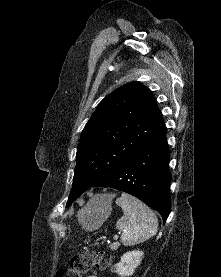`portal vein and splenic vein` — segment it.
Segmentation results:
<instances>
[{"instance_id": "18ae733b", "label": "portal vein and splenic vein", "mask_w": 221, "mask_h": 277, "mask_svg": "<svg viewBox=\"0 0 221 277\" xmlns=\"http://www.w3.org/2000/svg\"><path fill=\"white\" fill-rule=\"evenodd\" d=\"M118 237H119L118 235H115V236H114V240H117V239H118Z\"/></svg>"}]
</instances>
